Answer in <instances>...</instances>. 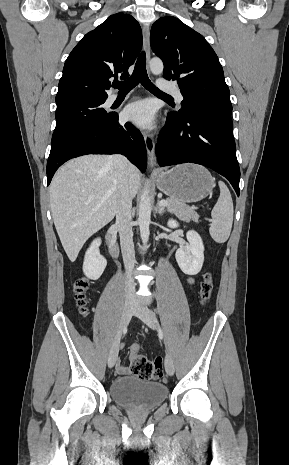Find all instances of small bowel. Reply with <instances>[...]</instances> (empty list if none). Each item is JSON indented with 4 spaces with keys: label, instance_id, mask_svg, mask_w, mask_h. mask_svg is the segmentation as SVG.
I'll list each match as a JSON object with an SVG mask.
<instances>
[{
    "label": "small bowel",
    "instance_id": "c3829d8e",
    "mask_svg": "<svg viewBox=\"0 0 289 465\" xmlns=\"http://www.w3.org/2000/svg\"><path fill=\"white\" fill-rule=\"evenodd\" d=\"M188 282L189 283H192L193 280L191 278L188 279ZM116 371L118 374H121V375H125V374H128L130 372V369L120 363H117L116 365Z\"/></svg>",
    "mask_w": 289,
    "mask_h": 465
}]
</instances>
